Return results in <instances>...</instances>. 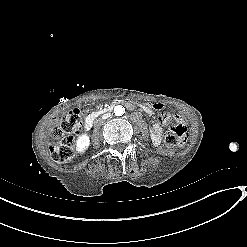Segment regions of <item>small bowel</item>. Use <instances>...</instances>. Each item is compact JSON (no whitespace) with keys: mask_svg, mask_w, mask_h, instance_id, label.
Here are the masks:
<instances>
[{"mask_svg":"<svg viewBox=\"0 0 247 247\" xmlns=\"http://www.w3.org/2000/svg\"><path fill=\"white\" fill-rule=\"evenodd\" d=\"M142 109L143 111L149 115V116H152L154 114V112H151L149 110L146 109L145 105L142 106ZM174 119L177 121V122H182L183 119L181 118V116L179 115H175L174 116ZM164 124L163 122H161L160 120L157 121L156 123H154V125L152 126V129H151V137H152V142L155 144V145H158L160 144L161 140H162V134H163V127H164Z\"/></svg>","mask_w":247,"mask_h":247,"instance_id":"obj_1","label":"small bowel"}]
</instances>
